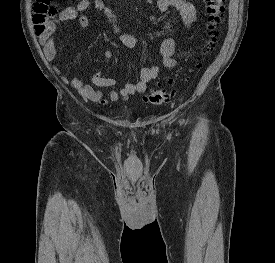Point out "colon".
<instances>
[{
	"instance_id": "5ec220e1",
	"label": "colon",
	"mask_w": 275,
	"mask_h": 263,
	"mask_svg": "<svg viewBox=\"0 0 275 263\" xmlns=\"http://www.w3.org/2000/svg\"><path fill=\"white\" fill-rule=\"evenodd\" d=\"M206 40L202 45L203 54H209L215 47L220 28L225 18V0H206ZM56 10L51 0H35L32 11L34 31L37 36L47 33L52 26ZM201 64L196 65L200 69ZM188 80V78H185ZM175 94L173 89L158 86L147 95V101L154 105L168 102Z\"/></svg>"
}]
</instances>
